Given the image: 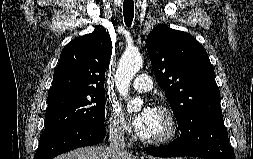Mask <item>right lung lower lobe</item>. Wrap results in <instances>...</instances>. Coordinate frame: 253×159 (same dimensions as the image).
I'll return each instance as SVG.
<instances>
[{
  "instance_id": "98d812e1",
  "label": "right lung lower lobe",
  "mask_w": 253,
  "mask_h": 159,
  "mask_svg": "<svg viewBox=\"0 0 253 159\" xmlns=\"http://www.w3.org/2000/svg\"><path fill=\"white\" fill-rule=\"evenodd\" d=\"M106 134L104 127L78 126L39 144L34 159H52L55 156L77 147L95 145L101 142Z\"/></svg>"
}]
</instances>
